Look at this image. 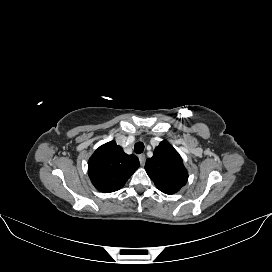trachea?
Returning a JSON list of instances; mask_svg holds the SVG:
<instances>
[{"mask_svg":"<svg viewBox=\"0 0 272 272\" xmlns=\"http://www.w3.org/2000/svg\"><path fill=\"white\" fill-rule=\"evenodd\" d=\"M134 151L137 153V154H140L144 151V144L142 142H138L135 144L134 146Z\"/></svg>","mask_w":272,"mask_h":272,"instance_id":"1","label":"trachea"}]
</instances>
